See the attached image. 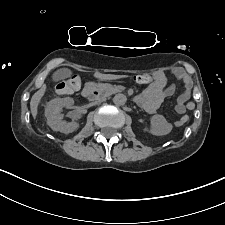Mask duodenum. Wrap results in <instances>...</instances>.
Returning <instances> with one entry per match:
<instances>
[{"label": "duodenum", "instance_id": "duodenum-1", "mask_svg": "<svg viewBox=\"0 0 225 225\" xmlns=\"http://www.w3.org/2000/svg\"><path fill=\"white\" fill-rule=\"evenodd\" d=\"M97 94H98L97 90L94 87H92L91 85L86 86L82 92V95L85 98L95 97Z\"/></svg>", "mask_w": 225, "mask_h": 225}]
</instances>
